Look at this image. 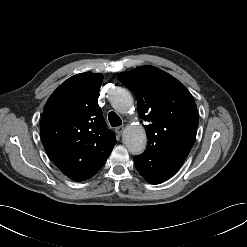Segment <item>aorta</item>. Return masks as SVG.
<instances>
[{
	"mask_svg": "<svg viewBox=\"0 0 247 247\" xmlns=\"http://www.w3.org/2000/svg\"><path fill=\"white\" fill-rule=\"evenodd\" d=\"M112 107L119 113L126 114L133 107V97L124 88H117L111 97ZM122 140L128 151L133 154H141L147 145L145 129L141 125H130L123 133Z\"/></svg>",
	"mask_w": 247,
	"mask_h": 247,
	"instance_id": "1",
	"label": "aorta"
}]
</instances>
